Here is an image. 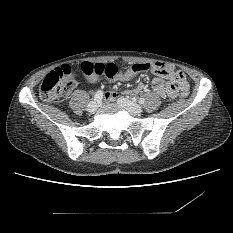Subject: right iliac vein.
Returning a JSON list of instances; mask_svg holds the SVG:
<instances>
[{"mask_svg":"<svg viewBox=\"0 0 233 233\" xmlns=\"http://www.w3.org/2000/svg\"><path fill=\"white\" fill-rule=\"evenodd\" d=\"M98 104L95 101H92L88 104L87 110L90 113H94L97 110Z\"/></svg>","mask_w":233,"mask_h":233,"instance_id":"obj_1","label":"right iliac vein"}]
</instances>
